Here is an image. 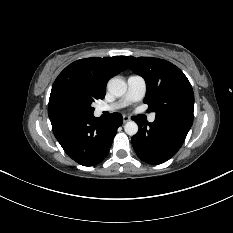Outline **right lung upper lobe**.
<instances>
[{
  "instance_id": "obj_1",
  "label": "right lung upper lobe",
  "mask_w": 233,
  "mask_h": 233,
  "mask_svg": "<svg viewBox=\"0 0 233 233\" xmlns=\"http://www.w3.org/2000/svg\"><path fill=\"white\" fill-rule=\"evenodd\" d=\"M122 59V56H114L77 60L59 74L53 84L51 94L61 87H73L96 99H103L107 81L127 69Z\"/></svg>"
}]
</instances>
